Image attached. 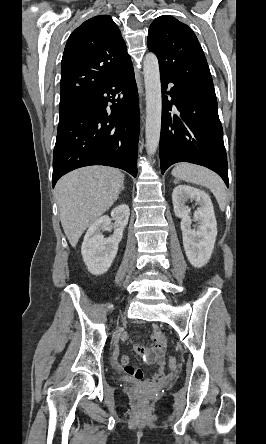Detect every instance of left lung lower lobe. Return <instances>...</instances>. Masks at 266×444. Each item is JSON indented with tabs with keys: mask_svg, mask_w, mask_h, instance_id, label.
Segmentation results:
<instances>
[{
	"mask_svg": "<svg viewBox=\"0 0 266 444\" xmlns=\"http://www.w3.org/2000/svg\"><path fill=\"white\" fill-rule=\"evenodd\" d=\"M162 124L160 163L162 173L177 162L205 166L219 174L228 187L227 155L217 111L214 85L177 81L160 71ZM174 86L166 92L168 83ZM172 97L169 101L167 95ZM173 105L176 113H171Z\"/></svg>",
	"mask_w": 266,
	"mask_h": 444,
	"instance_id": "left-lung-lower-lobe-1",
	"label": "left lung lower lobe"
}]
</instances>
